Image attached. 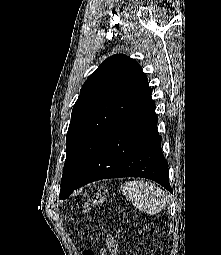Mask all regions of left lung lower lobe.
Returning a JSON list of instances; mask_svg holds the SVG:
<instances>
[{
  "label": "left lung lower lobe",
  "instance_id": "obj_1",
  "mask_svg": "<svg viewBox=\"0 0 221 255\" xmlns=\"http://www.w3.org/2000/svg\"><path fill=\"white\" fill-rule=\"evenodd\" d=\"M151 93L109 131L84 169L73 191L90 182L116 177L152 179L172 192L168 165L157 132Z\"/></svg>",
  "mask_w": 221,
  "mask_h": 255
}]
</instances>
